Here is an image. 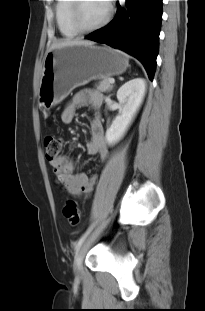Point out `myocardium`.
Returning a JSON list of instances; mask_svg holds the SVG:
<instances>
[{
  "instance_id": "myocardium-1",
  "label": "myocardium",
  "mask_w": 205,
  "mask_h": 311,
  "mask_svg": "<svg viewBox=\"0 0 205 311\" xmlns=\"http://www.w3.org/2000/svg\"><path fill=\"white\" fill-rule=\"evenodd\" d=\"M83 1L84 0H72V4L70 8V20L74 28L80 33L95 32V31H98L104 28L109 23L112 17L111 6L107 3V7H108L107 14L100 23L92 27H87L83 24L81 15H80L81 4Z\"/></svg>"
}]
</instances>
